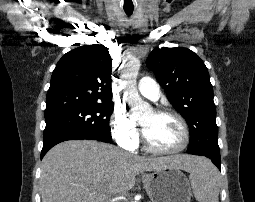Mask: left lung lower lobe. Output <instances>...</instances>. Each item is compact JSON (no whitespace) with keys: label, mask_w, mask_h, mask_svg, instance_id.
Returning a JSON list of instances; mask_svg holds the SVG:
<instances>
[{"label":"left lung lower lobe","mask_w":255,"mask_h":202,"mask_svg":"<svg viewBox=\"0 0 255 202\" xmlns=\"http://www.w3.org/2000/svg\"><path fill=\"white\" fill-rule=\"evenodd\" d=\"M189 154H192V153H189ZM202 156H205V157L211 159V161L218 167V169L221 168L220 154H207V155H202Z\"/></svg>","instance_id":"left-lung-lower-lobe-1"}]
</instances>
